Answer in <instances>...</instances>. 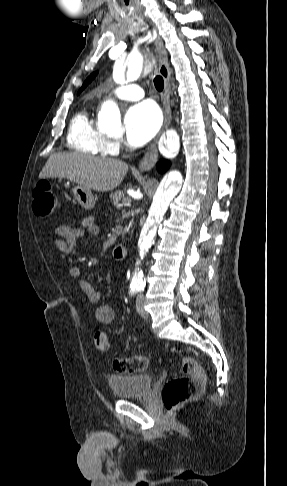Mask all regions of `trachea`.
I'll return each instance as SVG.
<instances>
[{
	"label": "trachea",
	"instance_id": "3493384b",
	"mask_svg": "<svg viewBox=\"0 0 287 486\" xmlns=\"http://www.w3.org/2000/svg\"><path fill=\"white\" fill-rule=\"evenodd\" d=\"M154 85H155V88L158 90V91H162L163 88H164V81H163V78L161 76H156L154 78Z\"/></svg>",
	"mask_w": 287,
	"mask_h": 486
}]
</instances>
